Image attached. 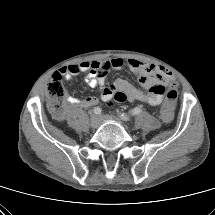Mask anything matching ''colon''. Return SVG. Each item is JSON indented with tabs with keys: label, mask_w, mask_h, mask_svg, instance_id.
Returning <instances> with one entry per match:
<instances>
[{
	"label": "colon",
	"mask_w": 215,
	"mask_h": 215,
	"mask_svg": "<svg viewBox=\"0 0 215 215\" xmlns=\"http://www.w3.org/2000/svg\"><path fill=\"white\" fill-rule=\"evenodd\" d=\"M155 92L164 93L165 89L160 86H155L153 88ZM47 95L48 104L51 112L56 116L60 117L64 111V101L66 97V89L62 82V77L60 74H53L47 83ZM177 99V91L171 87L168 89L165 95L164 102L162 104L160 114L158 116V121L162 125H169L173 121L172 109Z\"/></svg>",
	"instance_id": "colon-1"
}]
</instances>
